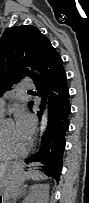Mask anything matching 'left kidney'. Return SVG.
I'll return each instance as SVG.
<instances>
[{
	"label": "left kidney",
	"instance_id": "left-kidney-1",
	"mask_svg": "<svg viewBox=\"0 0 89 203\" xmlns=\"http://www.w3.org/2000/svg\"><path fill=\"white\" fill-rule=\"evenodd\" d=\"M29 199H32L33 203H48L49 186L47 184H38L33 186L29 196L22 203H29Z\"/></svg>",
	"mask_w": 89,
	"mask_h": 203
}]
</instances>
